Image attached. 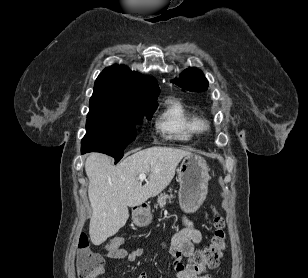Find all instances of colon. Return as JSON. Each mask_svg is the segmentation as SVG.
Here are the masks:
<instances>
[{
    "label": "colon",
    "mask_w": 308,
    "mask_h": 278,
    "mask_svg": "<svg viewBox=\"0 0 308 278\" xmlns=\"http://www.w3.org/2000/svg\"><path fill=\"white\" fill-rule=\"evenodd\" d=\"M214 233L207 247L195 252L190 259L193 264L203 270L215 268L226 247L225 223L221 216L215 215L213 220ZM123 239L115 237L104 244V250H119ZM103 257L92 251L89 240L82 234L78 242L77 272L80 278H97L103 269Z\"/></svg>",
    "instance_id": "obj_1"
}]
</instances>
